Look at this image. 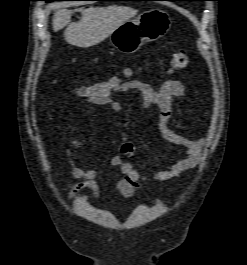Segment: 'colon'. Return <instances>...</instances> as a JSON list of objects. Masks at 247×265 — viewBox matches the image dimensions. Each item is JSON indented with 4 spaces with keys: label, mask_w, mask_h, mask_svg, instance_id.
Returning a JSON list of instances; mask_svg holds the SVG:
<instances>
[{
    "label": "colon",
    "mask_w": 247,
    "mask_h": 265,
    "mask_svg": "<svg viewBox=\"0 0 247 265\" xmlns=\"http://www.w3.org/2000/svg\"><path fill=\"white\" fill-rule=\"evenodd\" d=\"M190 63V58L184 49H177L171 59V65L178 69H185ZM123 83V76H112L107 80L96 82L90 85L81 86L75 89V94L85 102L96 106H106L117 93ZM133 145L124 143L121 146V153L131 155Z\"/></svg>",
    "instance_id": "5ec220e1"
}]
</instances>
